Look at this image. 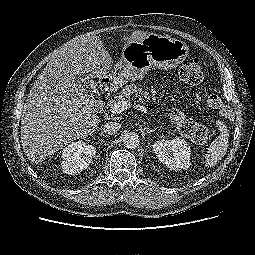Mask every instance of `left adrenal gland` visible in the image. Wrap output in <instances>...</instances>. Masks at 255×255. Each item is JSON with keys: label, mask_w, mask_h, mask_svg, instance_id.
<instances>
[{"label": "left adrenal gland", "mask_w": 255, "mask_h": 255, "mask_svg": "<svg viewBox=\"0 0 255 255\" xmlns=\"http://www.w3.org/2000/svg\"><path fill=\"white\" fill-rule=\"evenodd\" d=\"M157 128L158 127H155L154 129L146 128V130H147V133L150 134V133L154 132Z\"/></svg>", "instance_id": "1"}]
</instances>
